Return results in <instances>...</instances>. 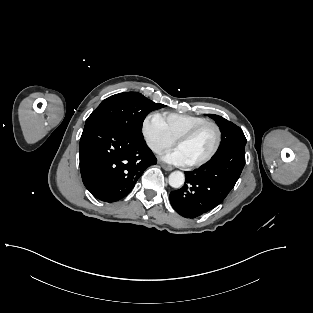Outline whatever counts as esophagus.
Masks as SVG:
<instances>
[{
	"label": "esophagus",
	"instance_id": "34e87169",
	"mask_svg": "<svg viewBox=\"0 0 313 313\" xmlns=\"http://www.w3.org/2000/svg\"><path fill=\"white\" fill-rule=\"evenodd\" d=\"M161 167L166 170V171H172L173 167L170 165H166V164H161Z\"/></svg>",
	"mask_w": 313,
	"mask_h": 313
}]
</instances>
